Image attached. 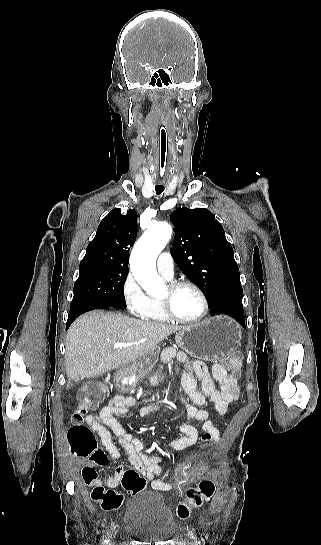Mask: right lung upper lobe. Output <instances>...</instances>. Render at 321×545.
<instances>
[{
    "mask_svg": "<svg viewBox=\"0 0 321 545\" xmlns=\"http://www.w3.org/2000/svg\"><path fill=\"white\" fill-rule=\"evenodd\" d=\"M137 236V213L113 209L99 224L96 236L89 243L79 269L101 267L128 270L129 247Z\"/></svg>",
    "mask_w": 321,
    "mask_h": 545,
    "instance_id": "1",
    "label": "right lung upper lobe"
}]
</instances>
